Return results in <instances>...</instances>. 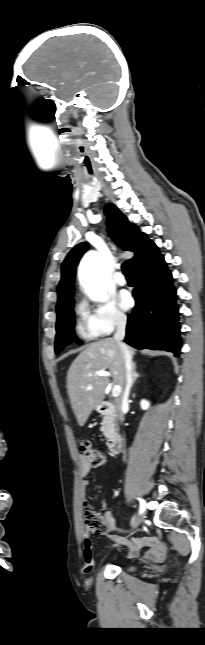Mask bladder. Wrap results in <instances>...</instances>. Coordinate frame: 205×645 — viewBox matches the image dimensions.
I'll return each mask as SVG.
<instances>
[{
  "label": "bladder",
  "instance_id": "bladder-1",
  "mask_svg": "<svg viewBox=\"0 0 205 645\" xmlns=\"http://www.w3.org/2000/svg\"><path fill=\"white\" fill-rule=\"evenodd\" d=\"M127 569H128L129 571H132V570H134V569H135V566H134V565H128V566H127Z\"/></svg>",
  "mask_w": 205,
  "mask_h": 645
}]
</instances>
